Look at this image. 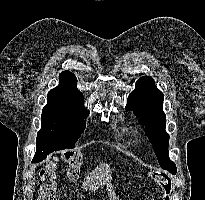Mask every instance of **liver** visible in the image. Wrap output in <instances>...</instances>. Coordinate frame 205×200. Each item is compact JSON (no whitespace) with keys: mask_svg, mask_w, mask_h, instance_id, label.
<instances>
[{"mask_svg":"<svg viewBox=\"0 0 205 200\" xmlns=\"http://www.w3.org/2000/svg\"><path fill=\"white\" fill-rule=\"evenodd\" d=\"M112 170L109 164L100 163L92 172L85 176L83 189L94 191L99 187L106 186L110 200L116 199L114 186L112 185Z\"/></svg>","mask_w":205,"mask_h":200,"instance_id":"1","label":"liver"}]
</instances>
